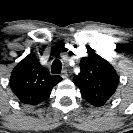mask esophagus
Masks as SVG:
<instances>
[{
  "mask_svg": "<svg viewBox=\"0 0 133 133\" xmlns=\"http://www.w3.org/2000/svg\"><path fill=\"white\" fill-rule=\"evenodd\" d=\"M61 77H62L63 79H66V78L68 77V72H67V70H63V71H62Z\"/></svg>",
  "mask_w": 133,
  "mask_h": 133,
  "instance_id": "34e87169",
  "label": "esophagus"
}]
</instances>
